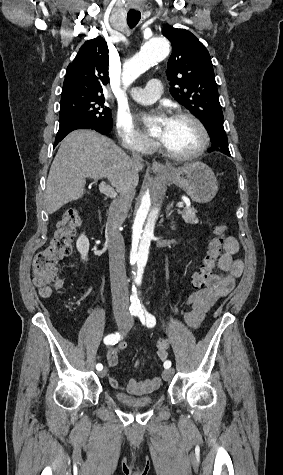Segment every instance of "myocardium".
I'll return each mask as SVG.
<instances>
[{"mask_svg":"<svg viewBox=\"0 0 283 475\" xmlns=\"http://www.w3.org/2000/svg\"><path fill=\"white\" fill-rule=\"evenodd\" d=\"M173 117L186 118L190 120L192 123H194L199 129L200 141L192 152L188 154H183V155H176V154L171 153L166 148L164 143L158 138L157 141H158L159 149L170 161L175 162V163H186V162H190L199 158L207 149V146L209 143V133H208L207 127L196 115H194L193 113L189 111H183V110L176 111Z\"/></svg>","mask_w":283,"mask_h":475,"instance_id":"myocardium-1","label":"myocardium"}]
</instances>
